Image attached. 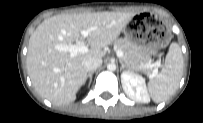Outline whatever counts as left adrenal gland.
<instances>
[{
    "label": "left adrenal gland",
    "instance_id": "left-adrenal-gland-1",
    "mask_svg": "<svg viewBox=\"0 0 203 123\" xmlns=\"http://www.w3.org/2000/svg\"><path fill=\"white\" fill-rule=\"evenodd\" d=\"M120 64H121V67H120V70H123L124 68H129L122 59L119 60ZM130 69V68H129Z\"/></svg>",
    "mask_w": 203,
    "mask_h": 123
}]
</instances>
